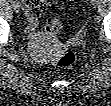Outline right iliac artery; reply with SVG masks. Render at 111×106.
Listing matches in <instances>:
<instances>
[{"mask_svg": "<svg viewBox=\"0 0 111 106\" xmlns=\"http://www.w3.org/2000/svg\"><path fill=\"white\" fill-rule=\"evenodd\" d=\"M9 2H10L11 4H14V3H15V1H13V0H10Z\"/></svg>", "mask_w": 111, "mask_h": 106, "instance_id": "right-iliac-artery-1", "label": "right iliac artery"}]
</instances>
